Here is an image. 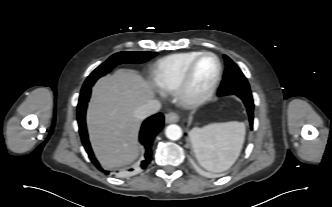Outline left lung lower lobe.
<instances>
[{
    "mask_svg": "<svg viewBox=\"0 0 332 207\" xmlns=\"http://www.w3.org/2000/svg\"><path fill=\"white\" fill-rule=\"evenodd\" d=\"M219 96H222V94H219ZM236 96H238L245 104L246 108H247V112L249 115V121H250V126L252 129V125H253V111H254V102H253V98H252V94H234Z\"/></svg>",
    "mask_w": 332,
    "mask_h": 207,
    "instance_id": "left-lung-lower-lobe-1",
    "label": "left lung lower lobe"
}]
</instances>
